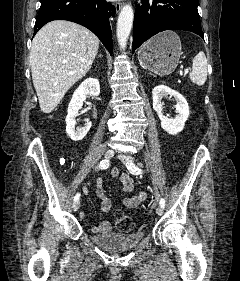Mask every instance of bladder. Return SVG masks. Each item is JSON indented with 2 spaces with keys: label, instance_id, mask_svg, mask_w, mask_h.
Here are the masks:
<instances>
[{
  "label": "bladder",
  "instance_id": "obj_1",
  "mask_svg": "<svg viewBox=\"0 0 240 281\" xmlns=\"http://www.w3.org/2000/svg\"><path fill=\"white\" fill-rule=\"evenodd\" d=\"M143 238L144 233L142 231L128 233L107 232L91 235V240L95 245L110 252L131 250L138 246Z\"/></svg>",
  "mask_w": 240,
  "mask_h": 281
}]
</instances>
